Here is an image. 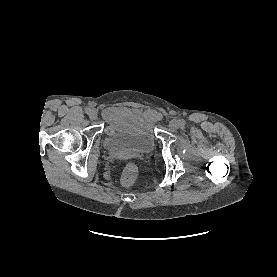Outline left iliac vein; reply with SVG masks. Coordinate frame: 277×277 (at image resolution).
I'll use <instances>...</instances> for the list:
<instances>
[{"label":"left iliac vein","mask_w":277,"mask_h":277,"mask_svg":"<svg viewBox=\"0 0 277 277\" xmlns=\"http://www.w3.org/2000/svg\"><path fill=\"white\" fill-rule=\"evenodd\" d=\"M169 125H170V127H171L172 129H178V128H180L181 123H180L179 120L173 119V120L170 121V124H169Z\"/></svg>","instance_id":"obj_1"}]
</instances>
